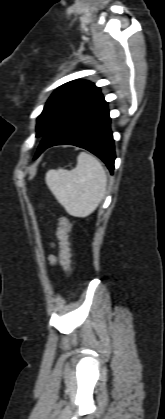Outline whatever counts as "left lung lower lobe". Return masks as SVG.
Masks as SVG:
<instances>
[{
  "label": "left lung lower lobe",
  "instance_id": "1",
  "mask_svg": "<svg viewBox=\"0 0 165 419\" xmlns=\"http://www.w3.org/2000/svg\"><path fill=\"white\" fill-rule=\"evenodd\" d=\"M55 145H75L98 156L111 173L114 170V140L107 102L101 93L71 109L43 137L35 159Z\"/></svg>",
  "mask_w": 165,
  "mask_h": 419
}]
</instances>
